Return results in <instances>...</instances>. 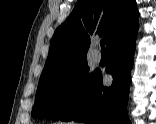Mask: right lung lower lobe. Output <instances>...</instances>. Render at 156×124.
<instances>
[{
	"instance_id": "obj_1",
	"label": "right lung lower lobe",
	"mask_w": 156,
	"mask_h": 124,
	"mask_svg": "<svg viewBox=\"0 0 156 124\" xmlns=\"http://www.w3.org/2000/svg\"><path fill=\"white\" fill-rule=\"evenodd\" d=\"M138 27L124 33L108 48L111 57L106 72L113 76L110 87H103L102 73L95 80L82 100L60 120L79 121L87 124H130L126 115L127 96L131 82V69Z\"/></svg>"
}]
</instances>
